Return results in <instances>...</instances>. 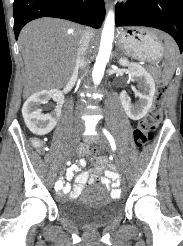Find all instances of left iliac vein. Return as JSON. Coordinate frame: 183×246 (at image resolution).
<instances>
[{"label":"left iliac vein","instance_id":"4c4485c4","mask_svg":"<svg viewBox=\"0 0 183 246\" xmlns=\"http://www.w3.org/2000/svg\"><path fill=\"white\" fill-rule=\"evenodd\" d=\"M98 142H99V145H100L101 148L107 149V150L109 149L108 141L104 137V135H102L101 133H99V135H98ZM114 157H115V162H116L117 167L122 172L123 171V166H122L121 160L119 159V157L116 154H114Z\"/></svg>","mask_w":183,"mask_h":246}]
</instances>
